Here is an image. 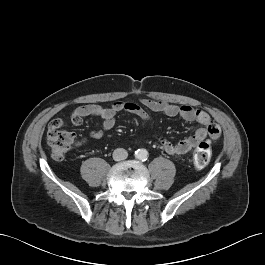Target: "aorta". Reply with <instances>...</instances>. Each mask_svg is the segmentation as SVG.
Here are the masks:
<instances>
[{"mask_svg": "<svg viewBox=\"0 0 265 265\" xmlns=\"http://www.w3.org/2000/svg\"><path fill=\"white\" fill-rule=\"evenodd\" d=\"M135 157L138 160L145 161L148 157V151L144 148L138 149L137 151H135Z\"/></svg>", "mask_w": 265, "mask_h": 265, "instance_id": "1", "label": "aorta"}]
</instances>
